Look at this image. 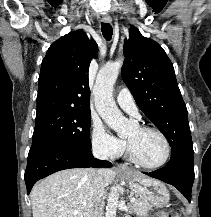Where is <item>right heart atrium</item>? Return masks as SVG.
<instances>
[{
  "label": "right heart atrium",
  "mask_w": 211,
  "mask_h": 217,
  "mask_svg": "<svg viewBox=\"0 0 211 217\" xmlns=\"http://www.w3.org/2000/svg\"><path fill=\"white\" fill-rule=\"evenodd\" d=\"M91 143L96 153L111 159L119 157L125 150V143L107 133L99 123L92 126Z\"/></svg>",
  "instance_id": "right-heart-atrium-1"
}]
</instances>
